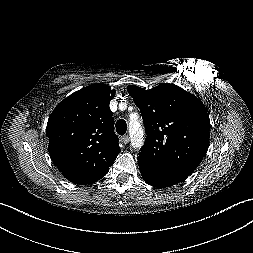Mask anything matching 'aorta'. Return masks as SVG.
I'll use <instances>...</instances> for the list:
<instances>
[{"label":"aorta","instance_id":"1","mask_svg":"<svg viewBox=\"0 0 253 253\" xmlns=\"http://www.w3.org/2000/svg\"><path fill=\"white\" fill-rule=\"evenodd\" d=\"M129 133L131 146L135 149H139L144 143V130L137 120H131L129 123Z\"/></svg>","mask_w":253,"mask_h":253}]
</instances>
